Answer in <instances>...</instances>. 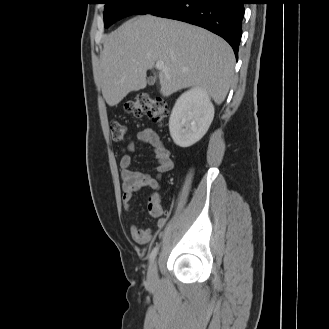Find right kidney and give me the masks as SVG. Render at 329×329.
Listing matches in <instances>:
<instances>
[{"instance_id":"1","label":"right kidney","mask_w":329,"mask_h":329,"mask_svg":"<svg viewBox=\"0 0 329 329\" xmlns=\"http://www.w3.org/2000/svg\"><path fill=\"white\" fill-rule=\"evenodd\" d=\"M214 118V106L202 88L184 92L176 101L169 119V131L174 143L190 147L207 132Z\"/></svg>"}]
</instances>
